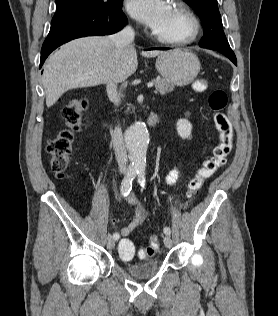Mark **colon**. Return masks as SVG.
Masks as SVG:
<instances>
[{"mask_svg": "<svg viewBox=\"0 0 278 316\" xmlns=\"http://www.w3.org/2000/svg\"><path fill=\"white\" fill-rule=\"evenodd\" d=\"M207 84L204 80H198L194 84L196 91H204ZM228 97L223 90H214L208 98V105L213 112V122L218 133L219 142L214 147L210 157L205 159L201 168L190 180L187 187V197L193 198L204 183L212 177L215 172L225 165L227 158L232 150L233 130L232 125L224 113L227 106ZM88 102L85 99L76 100L62 110V117L65 127L49 140L47 152L51 170L57 178H63L71 161L72 144L74 134L80 127L82 112L87 108ZM159 250V241L157 237L152 236L149 239L146 248L139 251L141 258H147L154 255ZM119 255L123 259H131L135 255V246L129 239H122L118 246Z\"/></svg>", "mask_w": 278, "mask_h": 316, "instance_id": "obj_1", "label": "colon"}]
</instances>
